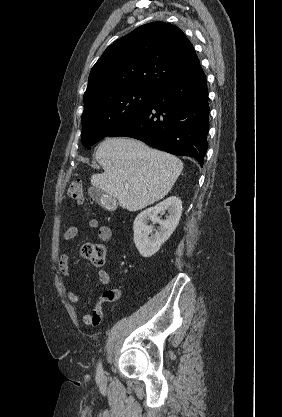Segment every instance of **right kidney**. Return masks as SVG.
Listing matches in <instances>:
<instances>
[{
    "label": "right kidney",
    "mask_w": 282,
    "mask_h": 417,
    "mask_svg": "<svg viewBox=\"0 0 282 417\" xmlns=\"http://www.w3.org/2000/svg\"><path fill=\"white\" fill-rule=\"evenodd\" d=\"M162 211H168L169 213L165 221H161L157 217ZM181 215L182 200H180L179 196H169V198L161 200L155 206H150V209H145V211L137 215L133 225L134 243L142 257H152L159 251L161 245L175 231ZM148 221L161 225L159 231H155L154 235H152L153 227L148 225Z\"/></svg>",
    "instance_id": "ca27d5eb"
}]
</instances>
